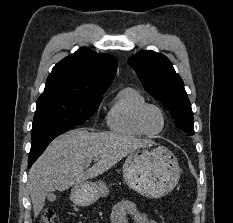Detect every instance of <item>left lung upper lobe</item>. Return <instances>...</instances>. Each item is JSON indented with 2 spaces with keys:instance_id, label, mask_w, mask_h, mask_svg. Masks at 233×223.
Returning <instances> with one entry per match:
<instances>
[{
  "instance_id": "1",
  "label": "left lung upper lobe",
  "mask_w": 233,
  "mask_h": 223,
  "mask_svg": "<svg viewBox=\"0 0 233 223\" xmlns=\"http://www.w3.org/2000/svg\"><path fill=\"white\" fill-rule=\"evenodd\" d=\"M128 64L137 72L144 89L171 113L176 126L193 135L191 104L169 59L154 51H141L132 55Z\"/></svg>"
}]
</instances>
